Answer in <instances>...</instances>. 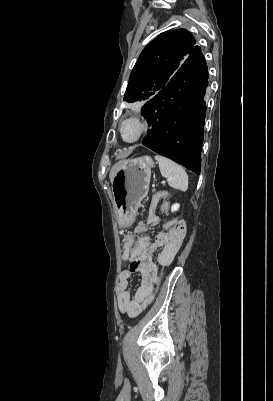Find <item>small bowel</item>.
<instances>
[{
	"instance_id": "obj_1",
	"label": "small bowel",
	"mask_w": 273,
	"mask_h": 401,
	"mask_svg": "<svg viewBox=\"0 0 273 401\" xmlns=\"http://www.w3.org/2000/svg\"><path fill=\"white\" fill-rule=\"evenodd\" d=\"M157 221L158 218L156 215H149L147 217L149 224H156ZM141 230V227H139L125 235L123 241V259L128 261L129 265L127 269L121 272L116 288L119 310L131 318L138 316L154 298V291L158 282L157 266L153 262L154 252L158 248L163 247L159 255V262H165V264L169 265L182 243V241L165 240L160 234L151 241L148 236L139 235ZM140 271H153L154 283L139 284L132 294L129 284L136 275L139 276Z\"/></svg>"
}]
</instances>
